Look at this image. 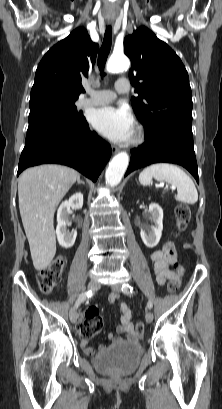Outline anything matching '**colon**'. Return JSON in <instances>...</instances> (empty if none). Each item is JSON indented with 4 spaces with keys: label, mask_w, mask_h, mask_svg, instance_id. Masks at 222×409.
I'll return each instance as SVG.
<instances>
[{
    "label": "colon",
    "mask_w": 222,
    "mask_h": 409,
    "mask_svg": "<svg viewBox=\"0 0 222 409\" xmlns=\"http://www.w3.org/2000/svg\"><path fill=\"white\" fill-rule=\"evenodd\" d=\"M191 218V212L186 204H179L175 208V219L178 232H182L188 226ZM65 267V260L62 256L53 259L50 265L43 269L38 275V287L44 294H51L61 280V276ZM175 270V269H174ZM178 277L182 275V268L175 270ZM179 282L171 281L167 285L168 292L172 293L177 290ZM102 328V319L98 309L89 307L85 312V317L78 327L79 335L82 339H90L95 336ZM136 333L141 339L144 335V326L142 322H138Z\"/></svg>",
    "instance_id": "obj_1"
}]
</instances>
